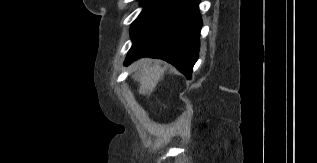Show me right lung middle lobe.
<instances>
[{"label": "right lung middle lobe", "instance_id": "right-lung-middle-lobe-1", "mask_svg": "<svg viewBox=\"0 0 317 163\" xmlns=\"http://www.w3.org/2000/svg\"><path fill=\"white\" fill-rule=\"evenodd\" d=\"M175 3L174 1L168 0H142L141 5L144 8L131 26V37L152 25Z\"/></svg>", "mask_w": 317, "mask_h": 163}]
</instances>
